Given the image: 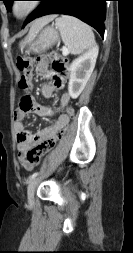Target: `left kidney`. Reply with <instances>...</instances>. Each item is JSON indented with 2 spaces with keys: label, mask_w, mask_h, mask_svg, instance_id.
Wrapping results in <instances>:
<instances>
[{
  "label": "left kidney",
  "mask_w": 133,
  "mask_h": 253,
  "mask_svg": "<svg viewBox=\"0 0 133 253\" xmlns=\"http://www.w3.org/2000/svg\"><path fill=\"white\" fill-rule=\"evenodd\" d=\"M98 48L93 47L83 56L75 59L69 67V95L77 98L85 88L95 67Z\"/></svg>",
  "instance_id": "1"
}]
</instances>
